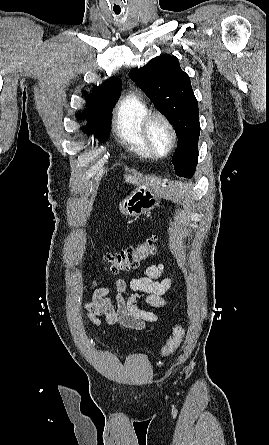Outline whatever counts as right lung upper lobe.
<instances>
[{
  "label": "right lung upper lobe",
  "mask_w": 269,
  "mask_h": 445,
  "mask_svg": "<svg viewBox=\"0 0 269 445\" xmlns=\"http://www.w3.org/2000/svg\"><path fill=\"white\" fill-rule=\"evenodd\" d=\"M121 88L122 82L116 77H111L101 85L94 86L93 95L89 96L86 109L115 104L120 96Z\"/></svg>",
  "instance_id": "obj_1"
}]
</instances>
